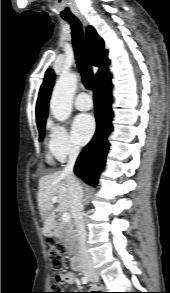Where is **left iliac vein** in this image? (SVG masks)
I'll return each mask as SVG.
<instances>
[{
	"instance_id": "1",
	"label": "left iliac vein",
	"mask_w": 170,
	"mask_h": 293,
	"mask_svg": "<svg viewBox=\"0 0 170 293\" xmlns=\"http://www.w3.org/2000/svg\"><path fill=\"white\" fill-rule=\"evenodd\" d=\"M90 281L97 283L99 281V277L97 274H95L93 277H89Z\"/></svg>"
}]
</instances>
